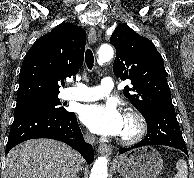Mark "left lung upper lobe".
<instances>
[{
    "instance_id": "obj_1",
    "label": "left lung upper lobe",
    "mask_w": 194,
    "mask_h": 178,
    "mask_svg": "<svg viewBox=\"0 0 194 178\" xmlns=\"http://www.w3.org/2000/svg\"><path fill=\"white\" fill-rule=\"evenodd\" d=\"M110 42L116 48L113 72L122 80H131L124 95L142 113L145 109L173 106L163 58L154 44L127 25L114 30Z\"/></svg>"
}]
</instances>
